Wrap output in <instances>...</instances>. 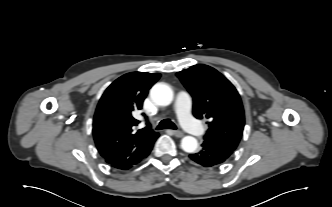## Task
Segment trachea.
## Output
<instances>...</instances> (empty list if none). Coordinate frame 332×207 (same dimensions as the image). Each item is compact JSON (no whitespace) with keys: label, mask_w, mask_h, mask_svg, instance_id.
I'll return each instance as SVG.
<instances>
[{"label":"trachea","mask_w":332,"mask_h":207,"mask_svg":"<svg viewBox=\"0 0 332 207\" xmlns=\"http://www.w3.org/2000/svg\"><path fill=\"white\" fill-rule=\"evenodd\" d=\"M162 129H177V127L171 120L164 119L157 126V130H162Z\"/></svg>","instance_id":"obj_1"}]
</instances>
